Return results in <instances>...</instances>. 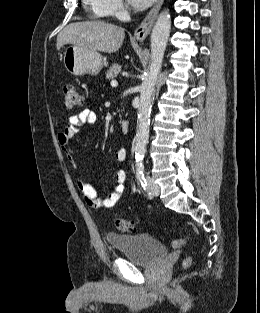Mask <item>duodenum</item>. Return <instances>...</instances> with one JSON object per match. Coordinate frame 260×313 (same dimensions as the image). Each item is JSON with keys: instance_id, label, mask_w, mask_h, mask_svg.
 Returning a JSON list of instances; mask_svg holds the SVG:
<instances>
[{"instance_id": "1", "label": "duodenum", "mask_w": 260, "mask_h": 313, "mask_svg": "<svg viewBox=\"0 0 260 313\" xmlns=\"http://www.w3.org/2000/svg\"><path fill=\"white\" fill-rule=\"evenodd\" d=\"M121 127L124 134H128L130 132V124L127 120H123L121 122Z\"/></svg>"}]
</instances>
